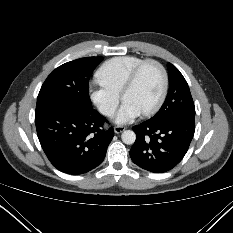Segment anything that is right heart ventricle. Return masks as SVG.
I'll return each instance as SVG.
<instances>
[{
  "instance_id": "1",
  "label": "right heart ventricle",
  "mask_w": 233,
  "mask_h": 233,
  "mask_svg": "<svg viewBox=\"0 0 233 233\" xmlns=\"http://www.w3.org/2000/svg\"><path fill=\"white\" fill-rule=\"evenodd\" d=\"M144 59L138 56H118L104 62L96 72L97 80L120 94L132 70Z\"/></svg>"
}]
</instances>
